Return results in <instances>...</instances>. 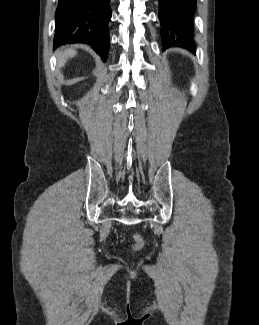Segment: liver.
<instances>
[{
    "mask_svg": "<svg viewBox=\"0 0 259 325\" xmlns=\"http://www.w3.org/2000/svg\"><path fill=\"white\" fill-rule=\"evenodd\" d=\"M76 54H77V52L74 49H71V48H67L64 51H59L57 53V57H58L57 66H58V68L64 67L67 60L69 58L74 57Z\"/></svg>",
    "mask_w": 259,
    "mask_h": 325,
    "instance_id": "6515ba94",
    "label": "liver"
}]
</instances>
